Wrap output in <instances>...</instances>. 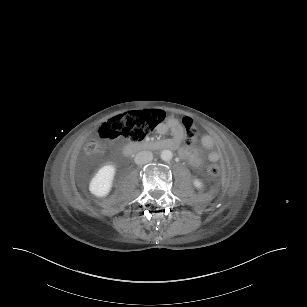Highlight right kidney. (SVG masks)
Segmentation results:
<instances>
[{
    "label": "right kidney",
    "instance_id": "obj_1",
    "mask_svg": "<svg viewBox=\"0 0 307 307\" xmlns=\"http://www.w3.org/2000/svg\"><path fill=\"white\" fill-rule=\"evenodd\" d=\"M116 168L113 165H105L99 169L89 183V192L97 197L104 198L112 190Z\"/></svg>",
    "mask_w": 307,
    "mask_h": 307
}]
</instances>
